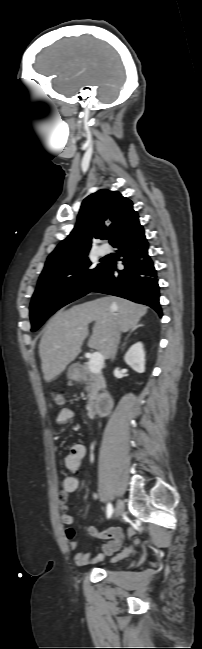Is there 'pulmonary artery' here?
I'll return each instance as SVG.
<instances>
[{
    "label": "pulmonary artery",
    "instance_id": "1",
    "mask_svg": "<svg viewBox=\"0 0 202 649\" xmlns=\"http://www.w3.org/2000/svg\"><path fill=\"white\" fill-rule=\"evenodd\" d=\"M98 251L101 256H105L109 253V248L106 245H102L99 247Z\"/></svg>",
    "mask_w": 202,
    "mask_h": 649
}]
</instances>
